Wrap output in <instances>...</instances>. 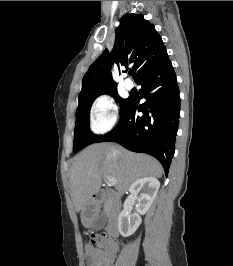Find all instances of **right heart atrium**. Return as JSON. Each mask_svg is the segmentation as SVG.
Instances as JSON below:
<instances>
[{"instance_id":"d8ad5b80","label":"right heart atrium","mask_w":233,"mask_h":266,"mask_svg":"<svg viewBox=\"0 0 233 266\" xmlns=\"http://www.w3.org/2000/svg\"><path fill=\"white\" fill-rule=\"evenodd\" d=\"M118 119V107L115 99L109 94L99 95L91 106V130L103 134L112 129Z\"/></svg>"}]
</instances>
